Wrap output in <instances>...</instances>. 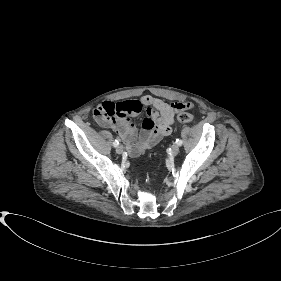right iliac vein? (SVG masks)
Masks as SVG:
<instances>
[{"label": "right iliac vein", "instance_id": "right-iliac-vein-1", "mask_svg": "<svg viewBox=\"0 0 281 281\" xmlns=\"http://www.w3.org/2000/svg\"><path fill=\"white\" fill-rule=\"evenodd\" d=\"M124 151V148L122 145H118L117 148H116V152L117 154H122Z\"/></svg>", "mask_w": 281, "mask_h": 281}]
</instances>
